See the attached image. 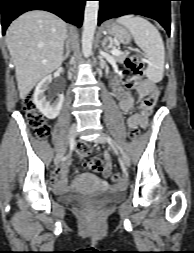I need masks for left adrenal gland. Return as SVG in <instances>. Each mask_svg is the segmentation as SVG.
<instances>
[{"label":"left adrenal gland","mask_w":194,"mask_h":253,"mask_svg":"<svg viewBox=\"0 0 194 253\" xmlns=\"http://www.w3.org/2000/svg\"><path fill=\"white\" fill-rule=\"evenodd\" d=\"M107 42H108V37H105L103 42H102V47L104 48L105 51H109L107 47Z\"/></svg>","instance_id":"left-adrenal-gland-1"}]
</instances>
